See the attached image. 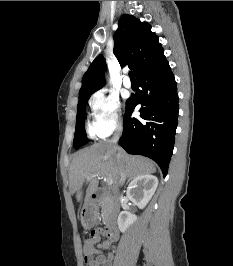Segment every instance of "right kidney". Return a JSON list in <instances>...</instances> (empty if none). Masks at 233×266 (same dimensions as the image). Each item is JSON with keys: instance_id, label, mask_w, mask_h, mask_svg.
Returning a JSON list of instances; mask_svg holds the SVG:
<instances>
[{"instance_id": "1", "label": "right kidney", "mask_w": 233, "mask_h": 266, "mask_svg": "<svg viewBox=\"0 0 233 266\" xmlns=\"http://www.w3.org/2000/svg\"><path fill=\"white\" fill-rule=\"evenodd\" d=\"M158 179L154 175L145 174L133 179L127 188L128 198L140 209H143L154 195ZM137 216L128 211H122L118 216L119 230L124 233L130 225L136 222Z\"/></svg>"}]
</instances>
